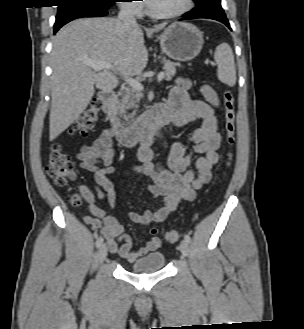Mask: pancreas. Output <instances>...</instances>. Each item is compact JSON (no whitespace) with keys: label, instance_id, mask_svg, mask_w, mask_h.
<instances>
[{"label":"pancreas","instance_id":"1","mask_svg":"<svg viewBox=\"0 0 304 329\" xmlns=\"http://www.w3.org/2000/svg\"><path fill=\"white\" fill-rule=\"evenodd\" d=\"M165 72L164 76L166 80H171L176 73V66H181L180 63H175L170 60H164ZM142 97V93L133 88H125L122 93L121 100L117 103V110L121 117L129 124L130 119L136 114L138 103ZM130 109H134L132 113H129Z\"/></svg>","mask_w":304,"mask_h":329}]
</instances>
